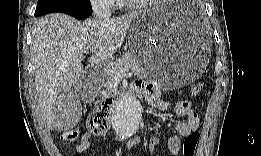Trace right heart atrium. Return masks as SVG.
<instances>
[{
  "label": "right heart atrium",
  "mask_w": 261,
  "mask_h": 156,
  "mask_svg": "<svg viewBox=\"0 0 261 156\" xmlns=\"http://www.w3.org/2000/svg\"><path fill=\"white\" fill-rule=\"evenodd\" d=\"M97 7L105 9V10H112L115 7V2L112 0H105L99 1L95 3Z\"/></svg>",
  "instance_id": "right-heart-atrium-1"
}]
</instances>
